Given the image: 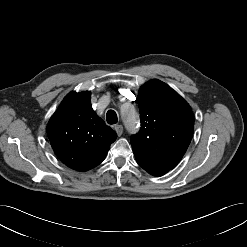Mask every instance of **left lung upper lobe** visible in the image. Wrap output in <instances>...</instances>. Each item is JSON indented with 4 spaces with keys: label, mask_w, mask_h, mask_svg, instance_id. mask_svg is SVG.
I'll return each mask as SVG.
<instances>
[{
    "label": "left lung upper lobe",
    "mask_w": 247,
    "mask_h": 247,
    "mask_svg": "<svg viewBox=\"0 0 247 247\" xmlns=\"http://www.w3.org/2000/svg\"><path fill=\"white\" fill-rule=\"evenodd\" d=\"M138 105L141 130L130 139L137 163L152 175L171 170L182 159L192 139L191 107L159 80L141 87Z\"/></svg>",
    "instance_id": "5c2ea615"
}]
</instances>
